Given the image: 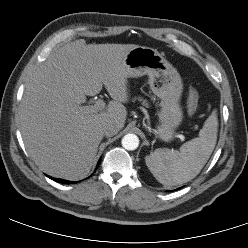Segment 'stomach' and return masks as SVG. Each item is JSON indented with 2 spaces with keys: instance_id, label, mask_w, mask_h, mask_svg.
<instances>
[{
  "instance_id": "1",
  "label": "stomach",
  "mask_w": 248,
  "mask_h": 248,
  "mask_svg": "<svg viewBox=\"0 0 248 248\" xmlns=\"http://www.w3.org/2000/svg\"><path fill=\"white\" fill-rule=\"evenodd\" d=\"M129 77L148 76L151 91L161 99L156 135L172 141L183 119L180 105L183 84L177 70L156 49L138 46L125 57Z\"/></svg>"
}]
</instances>
